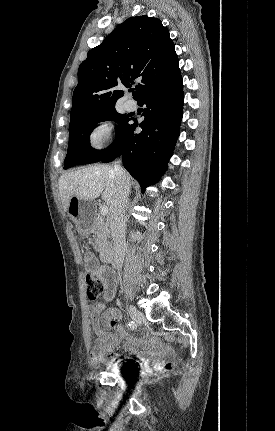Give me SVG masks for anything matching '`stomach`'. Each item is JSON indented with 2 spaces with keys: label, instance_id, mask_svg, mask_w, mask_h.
I'll return each instance as SVG.
<instances>
[{
  "label": "stomach",
  "instance_id": "0dacf381",
  "mask_svg": "<svg viewBox=\"0 0 275 431\" xmlns=\"http://www.w3.org/2000/svg\"><path fill=\"white\" fill-rule=\"evenodd\" d=\"M67 213L76 225L78 232L88 235L94 229L93 205L90 201L71 197Z\"/></svg>",
  "mask_w": 275,
  "mask_h": 431
}]
</instances>
